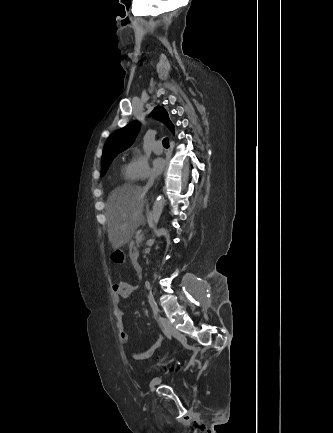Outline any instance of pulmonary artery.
I'll return each mask as SVG.
<instances>
[{
  "mask_svg": "<svg viewBox=\"0 0 333 433\" xmlns=\"http://www.w3.org/2000/svg\"><path fill=\"white\" fill-rule=\"evenodd\" d=\"M153 152L156 155H161L163 153V146L160 142H157L153 148Z\"/></svg>",
  "mask_w": 333,
  "mask_h": 433,
  "instance_id": "obj_1",
  "label": "pulmonary artery"
}]
</instances>
